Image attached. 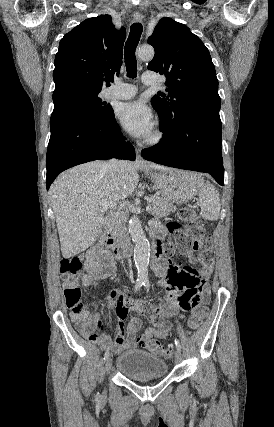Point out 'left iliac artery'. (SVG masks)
<instances>
[{
	"label": "left iliac artery",
	"mask_w": 274,
	"mask_h": 427,
	"mask_svg": "<svg viewBox=\"0 0 274 427\" xmlns=\"http://www.w3.org/2000/svg\"><path fill=\"white\" fill-rule=\"evenodd\" d=\"M144 286L149 290L150 289V282H149V280H145L144 281ZM175 345H176V347L179 349V350H181V344H180V342H179V340L178 339H175Z\"/></svg>",
	"instance_id": "obj_1"
}]
</instances>
